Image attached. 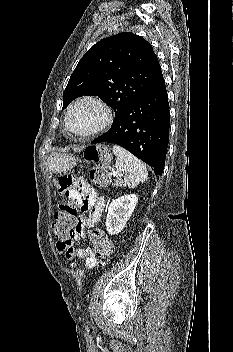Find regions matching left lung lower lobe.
Masks as SVG:
<instances>
[{"label":"left lung lower lobe","instance_id":"1","mask_svg":"<svg viewBox=\"0 0 233 352\" xmlns=\"http://www.w3.org/2000/svg\"><path fill=\"white\" fill-rule=\"evenodd\" d=\"M169 138V103L162 77L144 95L129 104L110 130L91 143H114L163 172Z\"/></svg>","mask_w":233,"mask_h":352}]
</instances>
